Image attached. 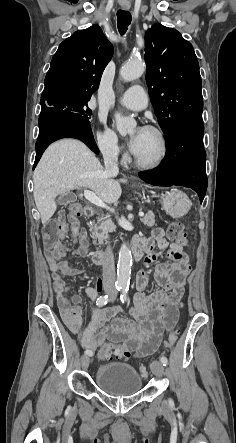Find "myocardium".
I'll return each mask as SVG.
<instances>
[{
    "label": "myocardium",
    "instance_id": "f54148a6",
    "mask_svg": "<svg viewBox=\"0 0 236 443\" xmlns=\"http://www.w3.org/2000/svg\"><path fill=\"white\" fill-rule=\"evenodd\" d=\"M146 128L156 135V137L159 141V144H160V152H159L158 156L153 160H144V159H141L140 157H138L136 154H133L134 163L140 169L155 170V169L159 168L165 162V160L168 156V153H169L168 141H167V138H166L165 134L163 133V131L161 129H159L158 127L150 125V126H147Z\"/></svg>",
    "mask_w": 236,
    "mask_h": 443
}]
</instances>
